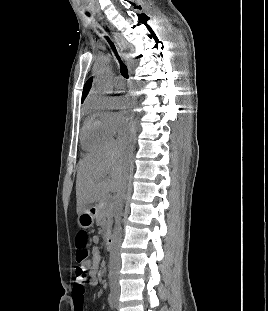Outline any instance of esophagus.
Wrapping results in <instances>:
<instances>
[{
	"label": "esophagus",
	"instance_id": "esophagus-1",
	"mask_svg": "<svg viewBox=\"0 0 268 311\" xmlns=\"http://www.w3.org/2000/svg\"><path fill=\"white\" fill-rule=\"evenodd\" d=\"M116 40L118 42L117 38H116ZM118 45H119L120 50L123 51L124 50V46L121 43H119V42H118ZM132 118H133V113L131 112V114L129 116V120H132Z\"/></svg>",
	"mask_w": 268,
	"mask_h": 311
}]
</instances>
